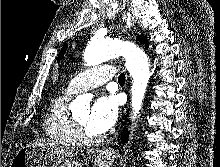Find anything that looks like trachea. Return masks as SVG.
Segmentation results:
<instances>
[{
	"label": "trachea",
	"mask_w": 220,
	"mask_h": 167,
	"mask_svg": "<svg viewBox=\"0 0 220 167\" xmlns=\"http://www.w3.org/2000/svg\"><path fill=\"white\" fill-rule=\"evenodd\" d=\"M118 82L120 84H124L125 83V74L124 73H121L118 77Z\"/></svg>",
	"instance_id": "3493384b"
}]
</instances>
